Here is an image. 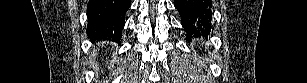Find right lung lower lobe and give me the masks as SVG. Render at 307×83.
Returning a JSON list of instances; mask_svg holds the SVG:
<instances>
[{"label":"right lung lower lobe","instance_id":"obj_1","mask_svg":"<svg viewBox=\"0 0 307 83\" xmlns=\"http://www.w3.org/2000/svg\"><path fill=\"white\" fill-rule=\"evenodd\" d=\"M131 0H90L87 7V35L96 39L120 41L125 14Z\"/></svg>","mask_w":307,"mask_h":83}]
</instances>
